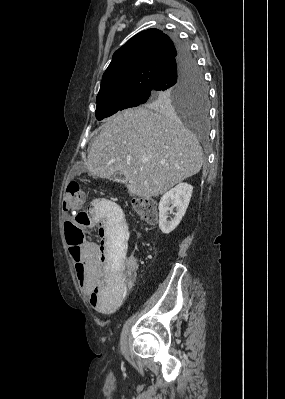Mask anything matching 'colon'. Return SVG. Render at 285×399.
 I'll return each mask as SVG.
<instances>
[{"label":"colon","mask_w":285,"mask_h":399,"mask_svg":"<svg viewBox=\"0 0 285 399\" xmlns=\"http://www.w3.org/2000/svg\"><path fill=\"white\" fill-rule=\"evenodd\" d=\"M83 196L82 190L77 182H71L66 188L63 196V209L70 213L71 216L64 223V231L66 234V241L69 244L70 250L76 259L80 253V244L85 241L84 227L89 224V215L83 210ZM133 210L140 215L142 220L146 223H154L157 221V203L148 198L135 200L132 202ZM126 230H124V234ZM126 240L116 247V254H125ZM75 279L80 282L82 279V266H75L72 268ZM123 270L118 272V276L122 277Z\"/></svg>","instance_id":"obj_1"}]
</instances>
